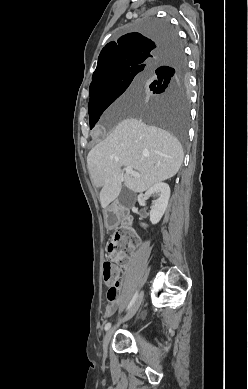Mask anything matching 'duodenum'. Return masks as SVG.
Returning <instances> with one entry per match:
<instances>
[{
  "label": "duodenum",
  "mask_w": 248,
  "mask_h": 389,
  "mask_svg": "<svg viewBox=\"0 0 248 389\" xmlns=\"http://www.w3.org/2000/svg\"><path fill=\"white\" fill-rule=\"evenodd\" d=\"M104 219L110 228L116 227L119 222L126 227L132 224V216L127 215L121 205L110 208L105 214Z\"/></svg>",
  "instance_id": "obj_1"
}]
</instances>
